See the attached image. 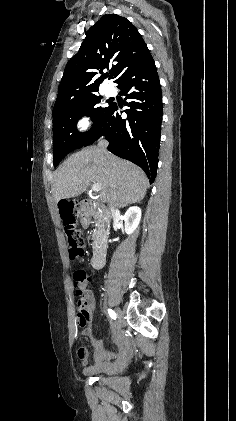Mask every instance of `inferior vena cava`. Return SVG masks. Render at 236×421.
Listing matches in <instances>:
<instances>
[{
  "label": "inferior vena cava",
  "instance_id": "inferior-vena-cava-1",
  "mask_svg": "<svg viewBox=\"0 0 236 421\" xmlns=\"http://www.w3.org/2000/svg\"><path fill=\"white\" fill-rule=\"evenodd\" d=\"M108 144H109L108 140H104V138H101V140H99V142H98V146H99L100 150H102V152H104L105 156H108V152H107Z\"/></svg>",
  "mask_w": 236,
  "mask_h": 421
}]
</instances>
